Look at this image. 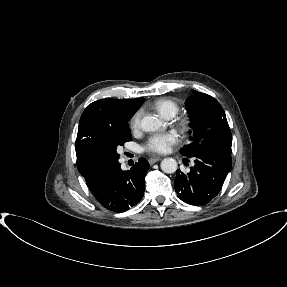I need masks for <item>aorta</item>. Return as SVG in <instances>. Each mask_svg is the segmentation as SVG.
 I'll return each mask as SVG.
<instances>
[{
    "mask_svg": "<svg viewBox=\"0 0 287 287\" xmlns=\"http://www.w3.org/2000/svg\"><path fill=\"white\" fill-rule=\"evenodd\" d=\"M162 122L155 116H145L141 120V128L146 132H154L160 129ZM161 169L165 173L176 172L178 165L175 159L165 158L161 161Z\"/></svg>",
    "mask_w": 287,
    "mask_h": 287,
    "instance_id": "762f6f07",
    "label": "aorta"
}]
</instances>
